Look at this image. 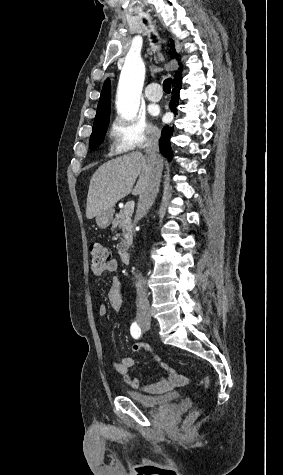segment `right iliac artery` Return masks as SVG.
<instances>
[{"label": "right iliac artery", "mask_w": 283, "mask_h": 475, "mask_svg": "<svg viewBox=\"0 0 283 475\" xmlns=\"http://www.w3.org/2000/svg\"><path fill=\"white\" fill-rule=\"evenodd\" d=\"M130 332H131V335L133 338L135 339H138L141 335V329L140 327L137 325L136 322H134L132 325H131V328H130Z\"/></svg>", "instance_id": "1"}]
</instances>
